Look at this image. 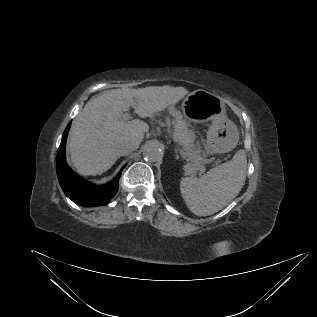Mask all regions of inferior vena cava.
<instances>
[{
  "label": "inferior vena cava",
  "mask_w": 317,
  "mask_h": 317,
  "mask_svg": "<svg viewBox=\"0 0 317 317\" xmlns=\"http://www.w3.org/2000/svg\"><path fill=\"white\" fill-rule=\"evenodd\" d=\"M137 142H123L117 146V154L119 156H125L138 148Z\"/></svg>",
  "instance_id": "602c4592"
}]
</instances>
